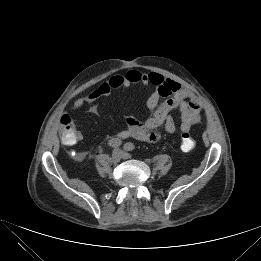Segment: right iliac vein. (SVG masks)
Masks as SVG:
<instances>
[{"label":"right iliac vein","instance_id":"1","mask_svg":"<svg viewBox=\"0 0 261 261\" xmlns=\"http://www.w3.org/2000/svg\"><path fill=\"white\" fill-rule=\"evenodd\" d=\"M121 156H122V152L120 151V150H114L113 152H112V155H111V158H110V160H111V162L113 163V164H117L119 161H120V159H121Z\"/></svg>","mask_w":261,"mask_h":261}]
</instances>
